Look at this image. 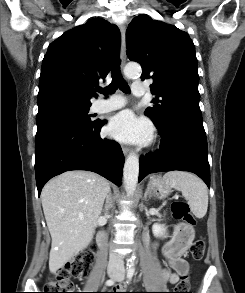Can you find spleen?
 Here are the masks:
<instances>
[{
  "label": "spleen",
  "instance_id": "spleen-1",
  "mask_svg": "<svg viewBox=\"0 0 245 293\" xmlns=\"http://www.w3.org/2000/svg\"><path fill=\"white\" fill-rule=\"evenodd\" d=\"M163 178L172 188L182 192L192 213L197 218L205 216L208 208V191L200 178L183 171L167 172Z\"/></svg>",
  "mask_w": 245,
  "mask_h": 293
}]
</instances>
